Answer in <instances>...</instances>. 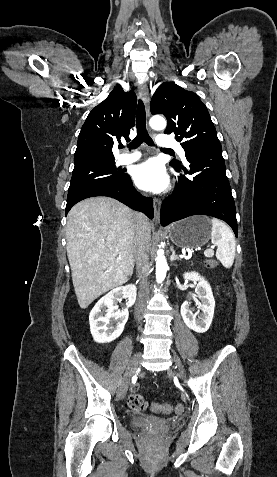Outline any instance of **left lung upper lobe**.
<instances>
[{"label":"left lung upper lobe","instance_id":"1","mask_svg":"<svg viewBox=\"0 0 277 477\" xmlns=\"http://www.w3.org/2000/svg\"><path fill=\"white\" fill-rule=\"evenodd\" d=\"M151 113L167 118L165 133H175L185 152L221 148L209 112L194 92L173 82L162 83L151 99ZM170 164L180 165L174 160Z\"/></svg>","mask_w":277,"mask_h":477}]
</instances>
